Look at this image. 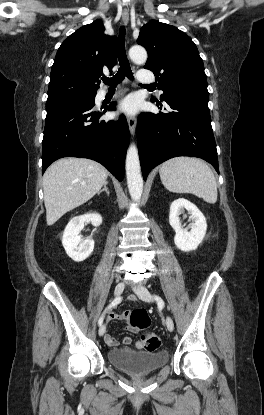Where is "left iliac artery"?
<instances>
[{"instance_id": "44dca946", "label": "left iliac artery", "mask_w": 264, "mask_h": 415, "mask_svg": "<svg viewBox=\"0 0 264 415\" xmlns=\"http://www.w3.org/2000/svg\"><path fill=\"white\" fill-rule=\"evenodd\" d=\"M155 300L157 301L159 306H164V301L157 295H154Z\"/></svg>"}]
</instances>
